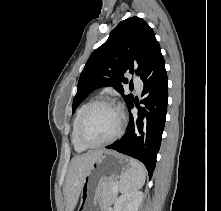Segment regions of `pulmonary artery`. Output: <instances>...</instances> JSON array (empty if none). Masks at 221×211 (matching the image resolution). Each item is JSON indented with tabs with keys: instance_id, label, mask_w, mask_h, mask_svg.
<instances>
[{
	"instance_id": "e3ab8cb5",
	"label": "pulmonary artery",
	"mask_w": 221,
	"mask_h": 211,
	"mask_svg": "<svg viewBox=\"0 0 221 211\" xmlns=\"http://www.w3.org/2000/svg\"><path fill=\"white\" fill-rule=\"evenodd\" d=\"M134 86L136 87L137 91L140 92L143 87V82L139 78L133 79Z\"/></svg>"
}]
</instances>
